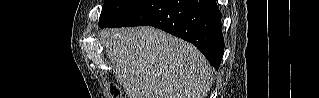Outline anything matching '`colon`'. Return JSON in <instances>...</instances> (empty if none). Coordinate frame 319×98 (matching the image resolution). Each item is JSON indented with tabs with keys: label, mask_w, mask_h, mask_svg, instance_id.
I'll use <instances>...</instances> for the list:
<instances>
[{
	"label": "colon",
	"mask_w": 319,
	"mask_h": 98,
	"mask_svg": "<svg viewBox=\"0 0 319 98\" xmlns=\"http://www.w3.org/2000/svg\"><path fill=\"white\" fill-rule=\"evenodd\" d=\"M110 94L112 98H123L120 90L115 85H110Z\"/></svg>",
	"instance_id": "obj_1"
}]
</instances>
